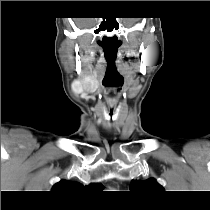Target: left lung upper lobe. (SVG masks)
I'll return each mask as SVG.
<instances>
[{"instance_id":"left-lung-upper-lobe-1","label":"left lung upper lobe","mask_w":210,"mask_h":210,"mask_svg":"<svg viewBox=\"0 0 210 210\" xmlns=\"http://www.w3.org/2000/svg\"><path fill=\"white\" fill-rule=\"evenodd\" d=\"M130 190L139 193H153L162 191L163 187L153 178L144 181L132 180Z\"/></svg>"}]
</instances>
